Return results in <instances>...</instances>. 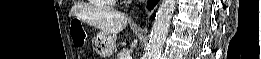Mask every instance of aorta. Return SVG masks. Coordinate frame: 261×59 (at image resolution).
I'll return each instance as SVG.
<instances>
[{"label": "aorta", "mask_w": 261, "mask_h": 59, "mask_svg": "<svg viewBox=\"0 0 261 59\" xmlns=\"http://www.w3.org/2000/svg\"><path fill=\"white\" fill-rule=\"evenodd\" d=\"M176 2V0H162L157 10L149 39L148 59H159L161 55Z\"/></svg>", "instance_id": "762f6f07"}]
</instances>
